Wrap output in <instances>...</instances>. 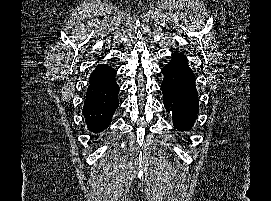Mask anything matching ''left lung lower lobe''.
I'll list each match as a JSON object with an SVG mask.
<instances>
[{"label":"left lung lower lobe","instance_id":"1","mask_svg":"<svg viewBox=\"0 0 271 201\" xmlns=\"http://www.w3.org/2000/svg\"><path fill=\"white\" fill-rule=\"evenodd\" d=\"M162 73L164 79L161 90L165 108L168 113H172L175 129L189 131L199 112V102L195 75L186 56L173 53L172 60L162 68Z\"/></svg>","mask_w":271,"mask_h":201}]
</instances>
